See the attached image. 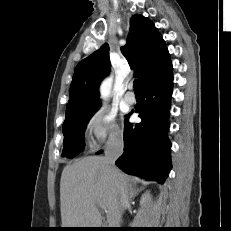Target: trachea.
<instances>
[{"label":"trachea","mask_w":231,"mask_h":231,"mask_svg":"<svg viewBox=\"0 0 231 231\" xmlns=\"http://www.w3.org/2000/svg\"><path fill=\"white\" fill-rule=\"evenodd\" d=\"M133 86H134V91H135V92H140L139 80H138V79H135V80H134Z\"/></svg>","instance_id":"trachea-1"}]
</instances>
